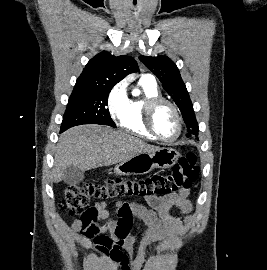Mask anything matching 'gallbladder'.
I'll return each instance as SVG.
<instances>
[{
	"instance_id": "1",
	"label": "gallbladder",
	"mask_w": 267,
	"mask_h": 270,
	"mask_svg": "<svg viewBox=\"0 0 267 270\" xmlns=\"http://www.w3.org/2000/svg\"><path fill=\"white\" fill-rule=\"evenodd\" d=\"M84 179V172L76 166H69L64 170L63 181L68 185H77Z\"/></svg>"
}]
</instances>
